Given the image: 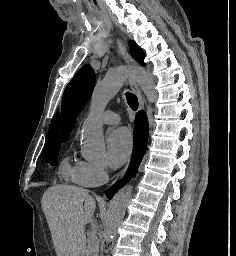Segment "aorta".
<instances>
[{
	"instance_id": "762f6f07",
	"label": "aorta",
	"mask_w": 236,
	"mask_h": 256,
	"mask_svg": "<svg viewBox=\"0 0 236 256\" xmlns=\"http://www.w3.org/2000/svg\"><path fill=\"white\" fill-rule=\"evenodd\" d=\"M132 75L150 102L154 103L158 94L151 75L140 67L122 66L110 72L95 85L91 97V110L82 126V141L96 152L104 150L103 125L101 114L108 102L118 93L128 76ZM132 195V186L122 188L110 201L107 211L103 237L106 244L116 235L117 228L123 219L126 207Z\"/></svg>"
}]
</instances>
